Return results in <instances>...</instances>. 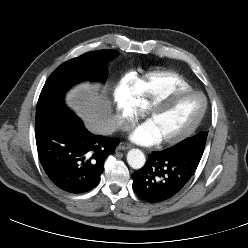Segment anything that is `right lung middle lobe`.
I'll use <instances>...</instances> for the list:
<instances>
[{"label": "right lung middle lobe", "instance_id": "obj_1", "mask_svg": "<svg viewBox=\"0 0 248 248\" xmlns=\"http://www.w3.org/2000/svg\"><path fill=\"white\" fill-rule=\"evenodd\" d=\"M115 50L88 52L61 64L47 79L40 100L63 98L66 90L82 80L105 81L107 60Z\"/></svg>", "mask_w": 248, "mask_h": 248}]
</instances>
